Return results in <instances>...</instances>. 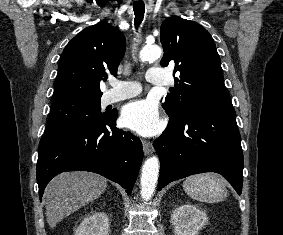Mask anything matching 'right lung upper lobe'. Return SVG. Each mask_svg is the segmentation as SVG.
I'll return each mask as SVG.
<instances>
[{
  "mask_svg": "<svg viewBox=\"0 0 283 235\" xmlns=\"http://www.w3.org/2000/svg\"><path fill=\"white\" fill-rule=\"evenodd\" d=\"M125 48L124 35L109 23L85 28L62 52L52 102L101 97L100 81L117 74Z\"/></svg>",
  "mask_w": 283,
  "mask_h": 235,
  "instance_id": "right-lung-upper-lobe-1",
  "label": "right lung upper lobe"
}]
</instances>
